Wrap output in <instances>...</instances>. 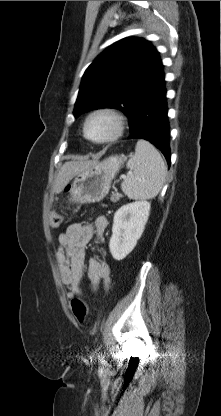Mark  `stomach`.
<instances>
[{
  "label": "stomach",
  "mask_w": 221,
  "mask_h": 416,
  "mask_svg": "<svg viewBox=\"0 0 221 416\" xmlns=\"http://www.w3.org/2000/svg\"><path fill=\"white\" fill-rule=\"evenodd\" d=\"M124 161L123 156L112 155L74 176L69 189L72 202L87 204L103 200Z\"/></svg>",
  "instance_id": "1"
}]
</instances>
